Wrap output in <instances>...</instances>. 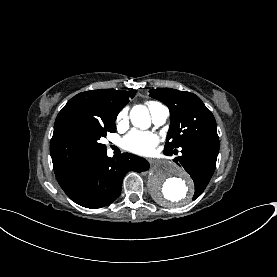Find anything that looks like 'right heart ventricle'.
<instances>
[{
  "mask_svg": "<svg viewBox=\"0 0 277 277\" xmlns=\"http://www.w3.org/2000/svg\"><path fill=\"white\" fill-rule=\"evenodd\" d=\"M154 102H148L147 104H146V107H147V109H148V111L150 112V107L152 106V104H153ZM137 107V106H136Z\"/></svg>",
  "mask_w": 277,
  "mask_h": 277,
  "instance_id": "1",
  "label": "right heart ventricle"
}]
</instances>
